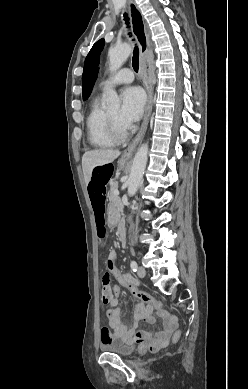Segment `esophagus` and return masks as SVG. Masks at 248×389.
Instances as JSON below:
<instances>
[{
	"label": "esophagus",
	"mask_w": 248,
	"mask_h": 389,
	"mask_svg": "<svg viewBox=\"0 0 248 389\" xmlns=\"http://www.w3.org/2000/svg\"><path fill=\"white\" fill-rule=\"evenodd\" d=\"M128 5H129V11L132 20L133 33L136 37L140 49L141 61L143 64H146V62L148 61L149 57L152 54V47H151V42L149 39L146 23L136 3L133 0H129ZM145 88L147 91L148 100H147L144 120L134 141L128 146V148L124 151L121 157V159L124 161L129 160L131 158L137 145L144 137V134L148 126L149 118L152 111V98H153V86L150 81V77L145 82Z\"/></svg>",
	"instance_id": "esophagus-1"
}]
</instances>
